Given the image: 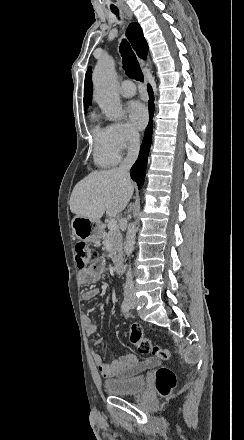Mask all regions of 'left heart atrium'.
Returning <instances> with one entry per match:
<instances>
[{
	"label": "left heart atrium",
	"mask_w": 244,
	"mask_h": 440,
	"mask_svg": "<svg viewBox=\"0 0 244 440\" xmlns=\"http://www.w3.org/2000/svg\"><path fill=\"white\" fill-rule=\"evenodd\" d=\"M130 122L136 129H143L147 123L146 107L139 101H133L128 106Z\"/></svg>",
	"instance_id": "left-heart-atrium-1"
}]
</instances>
